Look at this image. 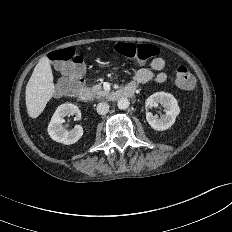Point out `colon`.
<instances>
[{"label": "colon", "mask_w": 232, "mask_h": 232, "mask_svg": "<svg viewBox=\"0 0 232 232\" xmlns=\"http://www.w3.org/2000/svg\"><path fill=\"white\" fill-rule=\"evenodd\" d=\"M114 51L137 62H145L156 55L159 50L155 45L146 43L120 42L114 45ZM49 58L59 66L61 79L57 85L60 94H74L82 86L83 60L70 48L51 52ZM175 82L178 87L190 90L195 86V77L188 67L179 66L175 71Z\"/></svg>", "instance_id": "colon-1"}]
</instances>
